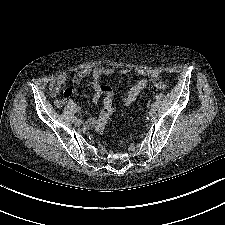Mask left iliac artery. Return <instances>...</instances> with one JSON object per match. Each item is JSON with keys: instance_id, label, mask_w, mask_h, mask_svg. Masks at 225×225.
Wrapping results in <instances>:
<instances>
[{"instance_id": "1", "label": "left iliac artery", "mask_w": 225, "mask_h": 225, "mask_svg": "<svg viewBox=\"0 0 225 225\" xmlns=\"http://www.w3.org/2000/svg\"><path fill=\"white\" fill-rule=\"evenodd\" d=\"M152 107H156V105H155V103H152V105H151Z\"/></svg>"}]
</instances>
